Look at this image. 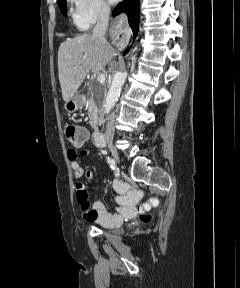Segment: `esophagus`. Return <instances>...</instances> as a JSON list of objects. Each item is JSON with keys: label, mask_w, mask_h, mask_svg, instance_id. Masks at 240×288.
Masks as SVG:
<instances>
[{"label": "esophagus", "mask_w": 240, "mask_h": 288, "mask_svg": "<svg viewBox=\"0 0 240 288\" xmlns=\"http://www.w3.org/2000/svg\"><path fill=\"white\" fill-rule=\"evenodd\" d=\"M125 22V16L122 14L120 15L113 23L112 25V37L118 39V36L121 32V27L123 23Z\"/></svg>", "instance_id": "esophagus-1"}]
</instances>
